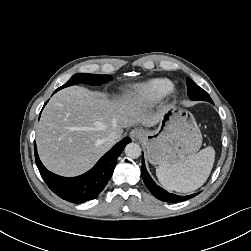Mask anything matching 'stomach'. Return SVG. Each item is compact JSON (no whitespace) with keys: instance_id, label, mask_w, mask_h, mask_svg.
I'll use <instances>...</instances> for the list:
<instances>
[{"instance_id":"0dacf381","label":"stomach","mask_w":251,"mask_h":251,"mask_svg":"<svg viewBox=\"0 0 251 251\" xmlns=\"http://www.w3.org/2000/svg\"><path fill=\"white\" fill-rule=\"evenodd\" d=\"M142 141L150 163L176 164L197 153L202 134L189 112L170 105L156 129L143 131Z\"/></svg>"}]
</instances>
